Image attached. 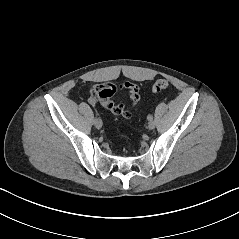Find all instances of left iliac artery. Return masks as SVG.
<instances>
[{"mask_svg":"<svg viewBox=\"0 0 239 239\" xmlns=\"http://www.w3.org/2000/svg\"><path fill=\"white\" fill-rule=\"evenodd\" d=\"M147 119H148L149 121H151V120H153V116H152V115H148V116H147Z\"/></svg>","mask_w":239,"mask_h":239,"instance_id":"44dca946","label":"left iliac artery"}]
</instances>
